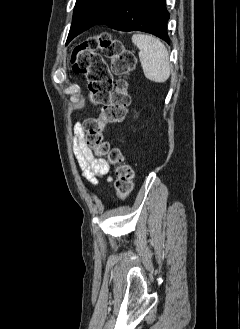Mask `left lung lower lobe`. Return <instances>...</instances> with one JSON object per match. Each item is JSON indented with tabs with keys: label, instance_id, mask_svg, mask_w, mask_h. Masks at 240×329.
Listing matches in <instances>:
<instances>
[{
	"label": "left lung lower lobe",
	"instance_id": "1",
	"mask_svg": "<svg viewBox=\"0 0 240 329\" xmlns=\"http://www.w3.org/2000/svg\"><path fill=\"white\" fill-rule=\"evenodd\" d=\"M169 18L165 0H120L96 24H104L120 31L139 30L151 33L169 44Z\"/></svg>",
	"mask_w": 240,
	"mask_h": 329
}]
</instances>
